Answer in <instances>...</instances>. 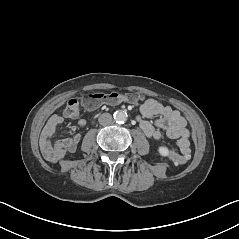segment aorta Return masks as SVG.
Instances as JSON below:
<instances>
[{"instance_id": "1", "label": "aorta", "mask_w": 239, "mask_h": 239, "mask_svg": "<svg viewBox=\"0 0 239 239\" xmlns=\"http://www.w3.org/2000/svg\"><path fill=\"white\" fill-rule=\"evenodd\" d=\"M113 117L116 123L122 124L127 121L128 115L125 111H116Z\"/></svg>"}]
</instances>
